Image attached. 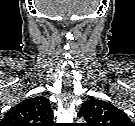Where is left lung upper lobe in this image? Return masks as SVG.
Segmentation results:
<instances>
[{
  "label": "left lung upper lobe",
  "mask_w": 135,
  "mask_h": 126,
  "mask_svg": "<svg viewBox=\"0 0 135 126\" xmlns=\"http://www.w3.org/2000/svg\"><path fill=\"white\" fill-rule=\"evenodd\" d=\"M86 126H131L129 117L111 103L96 98L85 101L78 113Z\"/></svg>",
  "instance_id": "1"
}]
</instances>
